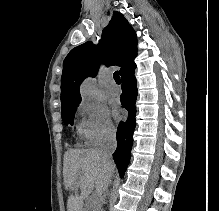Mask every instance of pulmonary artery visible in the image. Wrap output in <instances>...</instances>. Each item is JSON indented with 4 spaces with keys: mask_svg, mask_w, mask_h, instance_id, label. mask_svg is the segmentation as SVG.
<instances>
[{
    "mask_svg": "<svg viewBox=\"0 0 219 211\" xmlns=\"http://www.w3.org/2000/svg\"><path fill=\"white\" fill-rule=\"evenodd\" d=\"M107 92L111 96H118L121 94L122 90L121 87L114 81H111L108 88Z\"/></svg>",
    "mask_w": 219,
    "mask_h": 211,
    "instance_id": "obj_1",
    "label": "pulmonary artery"
}]
</instances>
